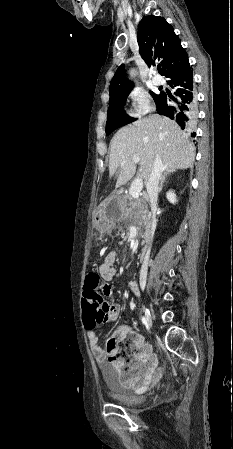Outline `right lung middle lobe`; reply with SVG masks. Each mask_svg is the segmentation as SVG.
Listing matches in <instances>:
<instances>
[{
	"instance_id": "1",
	"label": "right lung middle lobe",
	"mask_w": 233,
	"mask_h": 449,
	"mask_svg": "<svg viewBox=\"0 0 233 449\" xmlns=\"http://www.w3.org/2000/svg\"><path fill=\"white\" fill-rule=\"evenodd\" d=\"M155 103L161 97L160 94H155L150 92ZM129 92L119 94L110 98L109 108H108V117L106 123V135L112 133L115 129L129 124L135 120V118L130 117L124 111V104Z\"/></svg>"
}]
</instances>
